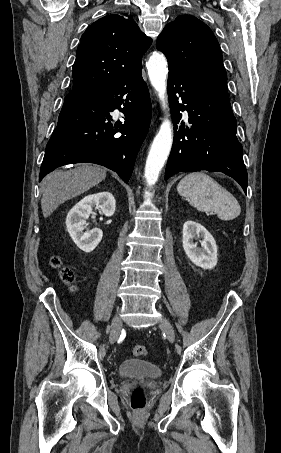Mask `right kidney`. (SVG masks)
Listing matches in <instances>:
<instances>
[{"label":"right kidney","mask_w":281,"mask_h":453,"mask_svg":"<svg viewBox=\"0 0 281 453\" xmlns=\"http://www.w3.org/2000/svg\"><path fill=\"white\" fill-rule=\"evenodd\" d=\"M115 202L113 194L104 190V192L87 194L70 208L66 218V229L70 237H72V241L84 253L94 251L103 237L101 229H91V231L84 233V224H87L86 218L90 214H96L93 206L98 208L103 214H106V216H112L115 212Z\"/></svg>","instance_id":"ca27d5eb"}]
</instances>
